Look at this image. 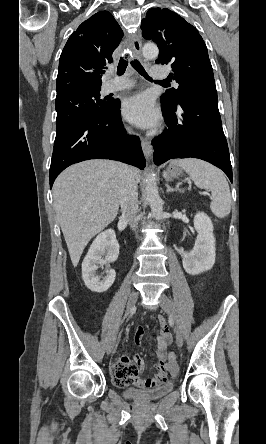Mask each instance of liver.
I'll return each mask as SVG.
<instances>
[{
  "label": "liver",
  "mask_w": 266,
  "mask_h": 444,
  "mask_svg": "<svg viewBox=\"0 0 266 444\" xmlns=\"http://www.w3.org/2000/svg\"><path fill=\"white\" fill-rule=\"evenodd\" d=\"M121 165L109 160L84 161L64 170L54 182L56 216L74 267L91 238L117 216ZM130 169L138 183L139 170Z\"/></svg>",
  "instance_id": "6515ba94"
}]
</instances>
